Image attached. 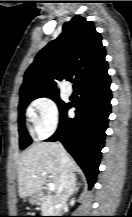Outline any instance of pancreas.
<instances>
[{
  "label": "pancreas",
  "mask_w": 132,
  "mask_h": 217,
  "mask_svg": "<svg viewBox=\"0 0 132 217\" xmlns=\"http://www.w3.org/2000/svg\"><path fill=\"white\" fill-rule=\"evenodd\" d=\"M41 210L43 214H49L52 213L54 210V202L52 198H47L45 201H43L41 205Z\"/></svg>",
  "instance_id": "cf45deb5"
}]
</instances>
